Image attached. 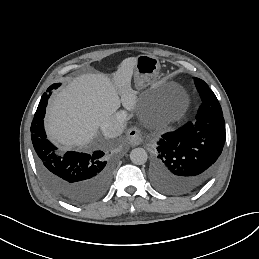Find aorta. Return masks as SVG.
<instances>
[{"label": "aorta", "instance_id": "762f6f07", "mask_svg": "<svg viewBox=\"0 0 259 259\" xmlns=\"http://www.w3.org/2000/svg\"><path fill=\"white\" fill-rule=\"evenodd\" d=\"M130 159L136 165H143L148 159V154L143 148H135L130 153Z\"/></svg>", "mask_w": 259, "mask_h": 259}]
</instances>
